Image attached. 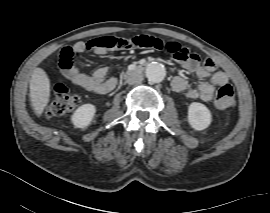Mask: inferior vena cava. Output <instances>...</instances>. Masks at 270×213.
I'll return each mask as SVG.
<instances>
[{
    "label": "inferior vena cava",
    "instance_id": "1",
    "mask_svg": "<svg viewBox=\"0 0 270 213\" xmlns=\"http://www.w3.org/2000/svg\"><path fill=\"white\" fill-rule=\"evenodd\" d=\"M143 81V76L136 72H131L127 76L126 82L130 85L132 84H138Z\"/></svg>",
    "mask_w": 270,
    "mask_h": 213
}]
</instances>
